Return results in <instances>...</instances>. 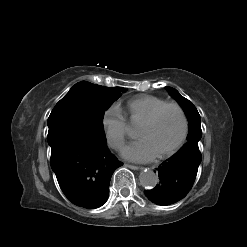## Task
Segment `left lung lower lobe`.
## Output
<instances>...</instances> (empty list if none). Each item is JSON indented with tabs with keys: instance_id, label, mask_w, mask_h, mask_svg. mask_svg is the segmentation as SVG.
I'll list each match as a JSON object with an SVG mask.
<instances>
[{
	"instance_id": "1",
	"label": "left lung lower lobe",
	"mask_w": 247,
	"mask_h": 247,
	"mask_svg": "<svg viewBox=\"0 0 247 247\" xmlns=\"http://www.w3.org/2000/svg\"><path fill=\"white\" fill-rule=\"evenodd\" d=\"M201 163L197 142L188 141L171 158L159 166L160 182L154 189L145 190L153 203L165 206L178 202L190 191Z\"/></svg>"
}]
</instances>
